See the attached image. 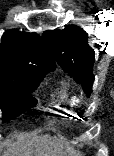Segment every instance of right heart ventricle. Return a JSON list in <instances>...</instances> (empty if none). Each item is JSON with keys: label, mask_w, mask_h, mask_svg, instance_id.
Returning a JSON list of instances; mask_svg holds the SVG:
<instances>
[{"label": "right heart ventricle", "mask_w": 114, "mask_h": 156, "mask_svg": "<svg viewBox=\"0 0 114 156\" xmlns=\"http://www.w3.org/2000/svg\"><path fill=\"white\" fill-rule=\"evenodd\" d=\"M79 103V97L74 90L67 85H61L56 90V108L65 114H73L72 108Z\"/></svg>", "instance_id": "e07e8e85"}]
</instances>
